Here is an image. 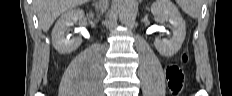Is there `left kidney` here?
Segmentation results:
<instances>
[{"label":"left kidney","instance_id":"5707ae66","mask_svg":"<svg viewBox=\"0 0 232 96\" xmlns=\"http://www.w3.org/2000/svg\"><path fill=\"white\" fill-rule=\"evenodd\" d=\"M151 12L159 21H169L171 24V39L156 37L154 41V45L161 55L171 57L179 51L185 39V21L170 0H156L151 5Z\"/></svg>","mask_w":232,"mask_h":96}]
</instances>
